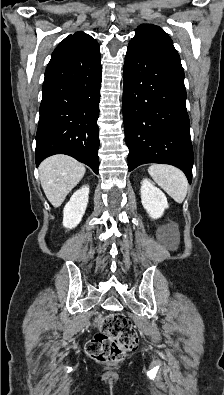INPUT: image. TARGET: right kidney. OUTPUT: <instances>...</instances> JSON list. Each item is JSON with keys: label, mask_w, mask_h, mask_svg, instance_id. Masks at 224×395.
<instances>
[{"label": "right kidney", "mask_w": 224, "mask_h": 395, "mask_svg": "<svg viewBox=\"0 0 224 395\" xmlns=\"http://www.w3.org/2000/svg\"><path fill=\"white\" fill-rule=\"evenodd\" d=\"M89 198V186H83L73 193L63 210V226L75 228L82 220Z\"/></svg>", "instance_id": "ca27d5eb"}]
</instances>
